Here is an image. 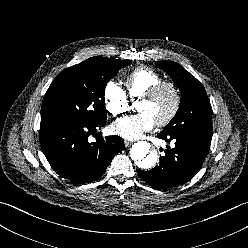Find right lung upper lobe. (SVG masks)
Here are the masks:
<instances>
[{
  "label": "right lung upper lobe",
  "instance_id": "cb5924a9",
  "mask_svg": "<svg viewBox=\"0 0 248 248\" xmlns=\"http://www.w3.org/2000/svg\"><path fill=\"white\" fill-rule=\"evenodd\" d=\"M94 58H96V57H92V58H90V59H94Z\"/></svg>",
  "mask_w": 248,
  "mask_h": 248
}]
</instances>
